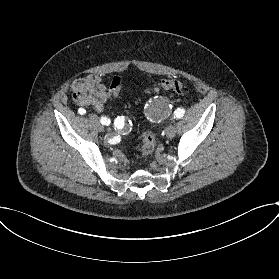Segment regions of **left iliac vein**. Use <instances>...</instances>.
I'll use <instances>...</instances> for the list:
<instances>
[{"label":"left iliac vein","instance_id":"4c4485c4","mask_svg":"<svg viewBox=\"0 0 279 279\" xmlns=\"http://www.w3.org/2000/svg\"><path fill=\"white\" fill-rule=\"evenodd\" d=\"M175 135V127L173 125H169L167 127V137L168 138H173Z\"/></svg>","mask_w":279,"mask_h":279}]
</instances>
